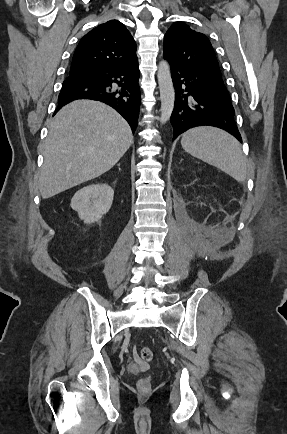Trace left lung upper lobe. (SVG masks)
I'll return each mask as SVG.
<instances>
[{
	"label": "left lung upper lobe",
	"mask_w": 287,
	"mask_h": 434,
	"mask_svg": "<svg viewBox=\"0 0 287 434\" xmlns=\"http://www.w3.org/2000/svg\"><path fill=\"white\" fill-rule=\"evenodd\" d=\"M164 58L175 64L201 69L222 80L219 64L209 39L184 23H174L164 37Z\"/></svg>",
	"instance_id": "1"
}]
</instances>
